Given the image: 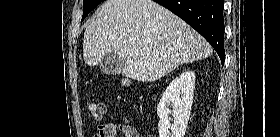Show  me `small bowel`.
Listing matches in <instances>:
<instances>
[{
  "mask_svg": "<svg viewBox=\"0 0 280 137\" xmlns=\"http://www.w3.org/2000/svg\"><path fill=\"white\" fill-rule=\"evenodd\" d=\"M121 133L123 137H139L137 130L128 124L105 123L98 126L94 137H116Z\"/></svg>",
  "mask_w": 280,
  "mask_h": 137,
  "instance_id": "small-bowel-1",
  "label": "small bowel"
}]
</instances>
